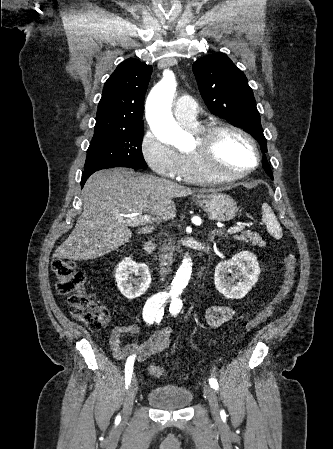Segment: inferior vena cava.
I'll list each match as a JSON object with an SVG mask.
<instances>
[{
  "label": "inferior vena cava",
  "instance_id": "obj_1",
  "mask_svg": "<svg viewBox=\"0 0 333 449\" xmlns=\"http://www.w3.org/2000/svg\"><path fill=\"white\" fill-rule=\"evenodd\" d=\"M159 261H160V275L161 280L164 281L166 275L171 270V265L173 262V256H174V246L171 240L169 242H164L163 245H160L159 249Z\"/></svg>",
  "mask_w": 333,
  "mask_h": 449
}]
</instances>
